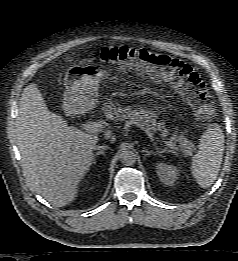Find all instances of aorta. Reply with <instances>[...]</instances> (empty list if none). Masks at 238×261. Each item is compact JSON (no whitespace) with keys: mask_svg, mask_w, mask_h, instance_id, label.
<instances>
[{"mask_svg":"<svg viewBox=\"0 0 238 261\" xmlns=\"http://www.w3.org/2000/svg\"><path fill=\"white\" fill-rule=\"evenodd\" d=\"M120 158H121V162L125 166H132L136 162V154L133 151H131V150H124V151H122L121 155H120Z\"/></svg>","mask_w":238,"mask_h":261,"instance_id":"aorta-1","label":"aorta"}]
</instances>
